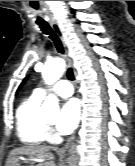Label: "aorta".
Returning a JSON list of instances; mask_svg holds the SVG:
<instances>
[{
	"instance_id": "1",
	"label": "aorta",
	"mask_w": 135,
	"mask_h": 166,
	"mask_svg": "<svg viewBox=\"0 0 135 166\" xmlns=\"http://www.w3.org/2000/svg\"><path fill=\"white\" fill-rule=\"evenodd\" d=\"M65 71V61L61 58H55L48 61L42 71V76L46 84H53L63 75ZM43 116L59 113V103L55 95L50 94L39 109Z\"/></svg>"
}]
</instances>
